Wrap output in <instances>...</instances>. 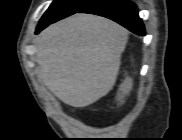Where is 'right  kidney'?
I'll return each mask as SVG.
<instances>
[{"label": "right kidney", "mask_w": 182, "mask_h": 140, "mask_svg": "<svg viewBox=\"0 0 182 140\" xmlns=\"http://www.w3.org/2000/svg\"><path fill=\"white\" fill-rule=\"evenodd\" d=\"M132 87H133V80L127 77L119 87V92L117 94V101L119 102V104L124 103V98L126 95L130 93Z\"/></svg>", "instance_id": "right-kidney-1"}]
</instances>
